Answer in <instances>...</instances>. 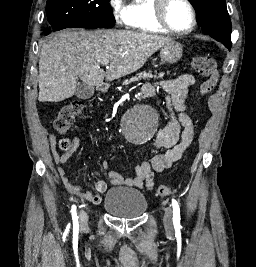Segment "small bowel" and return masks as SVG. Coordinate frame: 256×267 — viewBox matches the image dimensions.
Here are the masks:
<instances>
[{"label": "small bowel", "instance_id": "small-bowel-1", "mask_svg": "<svg viewBox=\"0 0 256 267\" xmlns=\"http://www.w3.org/2000/svg\"><path fill=\"white\" fill-rule=\"evenodd\" d=\"M195 77L191 74H183L174 79L162 80L156 85H148L142 89V93L148 97L160 95L164 98L168 110L169 121L159 129L155 137V148L164 149L157 152L150 161H143L136 166L135 174L125 178L116 171L108 172L109 184L114 187L129 186L134 188L146 187L151 189L154 185L155 173L162 172L178 161L184 151L191 144L194 137V129L191 119L184 112V101L189 87L194 85ZM180 137V142H177ZM54 162L58 165L57 174L65 189L92 204L102 201V194L108 188V184L101 179L95 181V192L83 191L82 186L70 182L63 165L80 145V139L75 137L69 143L64 153L56 150V137H50ZM102 167L107 170V163Z\"/></svg>", "mask_w": 256, "mask_h": 267}]
</instances>
